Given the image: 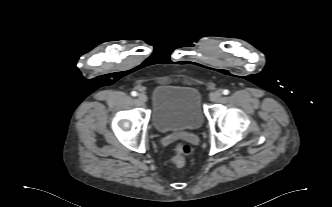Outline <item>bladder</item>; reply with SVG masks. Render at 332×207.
Wrapping results in <instances>:
<instances>
[{
  "label": "bladder",
  "mask_w": 332,
  "mask_h": 207,
  "mask_svg": "<svg viewBox=\"0 0 332 207\" xmlns=\"http://www.w3.org/2000/svg\"><path fill=\"white\" fill-rule=\"evenodd\" d=\"M151 119L161 133L200 128L204 120L201 93L190 86H157L152 93Z\"/></svg>",
  "instance_id": "31cf9c89"
}]
</instances>
